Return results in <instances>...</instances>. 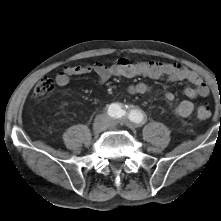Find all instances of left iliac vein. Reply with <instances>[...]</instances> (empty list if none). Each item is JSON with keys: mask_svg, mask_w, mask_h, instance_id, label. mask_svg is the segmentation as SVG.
Here are the masks:
<instances>
[{"mask_svg": "<svg viewBox=\"0 0 221 221\" xmlns=\"http://www.w3.org/2000/svg\"><path fill=\"white\" fill-rule=\"evenodd\" d=\"M123 122L127 125H134L133 123L128 122L127 120H123ZM117 125V122L114 120L109 121L108 127L113 128Z\"/></svg>", "mask_w": 221, "mask_h": 221, "instance_id": "4c4485c4", "label": "left iliac vein"}]
</instances>
